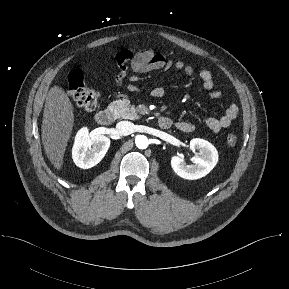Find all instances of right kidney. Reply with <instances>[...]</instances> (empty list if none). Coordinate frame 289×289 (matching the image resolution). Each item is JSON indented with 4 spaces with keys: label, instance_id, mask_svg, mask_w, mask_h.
Instances as JSON below:
<instances>
[{
    "label": "right kidney",
    "instance_id": "right-kidney-1",
    "mask_svg": "<svg viewBox=\"0 0 289 289\" xmlns=\"http://www.w3.org/2000/svg\"><path fill=\"white\" fill-rule=\"evenodd\" d=\"M110 146V139L104 135H90L88 128H81L76 136L72 149L74 163L89 169L97 165L105 156Z\"/></svg>",
    "mask_w": 289,
    "mask_h": 289
}]
</instances>
